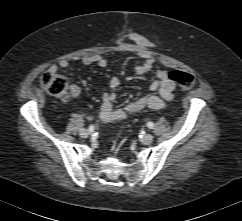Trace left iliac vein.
I'll return each mask as SVG.
<instances>
[{"label": "left iliac vein", "mask_w": 242, "mask_h": 221, "mask_svg": "<svg viewBox=\"0 0 242 221\" xmlns=\"http://www.w3.org/2000/svg\"><path fill=\"white\" fill-rule=\"evenodd\" d=\"M154 137L151 134H145L140 139L143 144H151L153 142Z\"/></svg>", "instance_id": "left-iliac-vein-1"}]
</instances>
